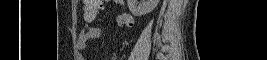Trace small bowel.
<instances>
[{
    "mask_svg": "<svg viewBox=\"0 0 267 60\" xmlns=\"http://www.w3.org/2000/svg\"><path fill=\"white\" fill-rule=\"evenodd\" d=\"M115 3H117L122 9L125 8V1L123 0H116L113 1ZM134 22L133 17L126 13H120L119 15L116 16L115 18V23L119 26H131ZM101 35V30L98 27H94V26H86L80 33L78 36V42L81 45H84L85 43L97 39L98 37H100Z\"/></svg>",
    "mask_w": 267,
    "mask_h": 60,
    "instance_id": "small-bowel-1",
    "label": "small bowel"
}]
</instances>
